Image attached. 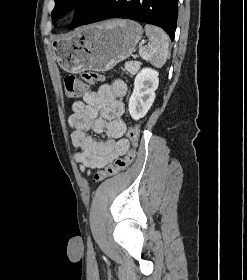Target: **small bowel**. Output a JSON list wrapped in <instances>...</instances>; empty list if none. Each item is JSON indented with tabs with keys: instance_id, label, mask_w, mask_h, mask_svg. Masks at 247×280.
<instances>
[{
	"instance_id": "c3829d8e",
	"label": "small bowel",
	"mask_w": 247,
	"mask_h": 280,
	"mask_svg": "<svg viewBox=\"0 0 247 280\" xmlns=\"http://www.w3.org/2000/svg\"><path fill=\"white\" fill-rule=\"evenodd\" d=\"M126 94V84L116 80L87 92L83 100L72 104L69 124L74 130L71 140L80 149L74 158L80 164L81 171L89 174L127 152L129 143L123 138L126 124L122 119ZM89 132L105 134L106 139L98 141Z\"/></svg>"
}]
</instances>
